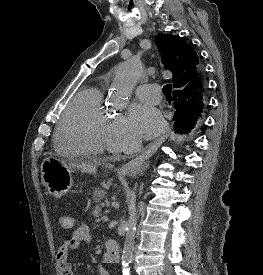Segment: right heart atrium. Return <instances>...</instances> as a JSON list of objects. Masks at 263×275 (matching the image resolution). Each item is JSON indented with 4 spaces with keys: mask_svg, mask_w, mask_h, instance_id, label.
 I'll list each match as a JSON object with an SVG mask.
<instances>
[{
    "mask_svg": "<svg viewBox=\"0 0 263 275\" xmlns=\"http://www.w3.org/2000/svg\"><path fill=\"white\" fill-rule=\"evenodd\" d=\"M107 141L113 150L128 149L135 144V140L126 132L121 120L109 124Z\"/></svg>",
    "mask_w": 263,
    "mask_h": 275,
    "instance_id": "right-heart-atrium-1",
    "label": "right heart atrium"
}]
</instances>
